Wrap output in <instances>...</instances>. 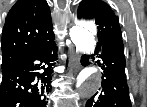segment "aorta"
Masks as SVG:
<instances>
[{
    "mask_svg": "<svg viewBox=\"0 0 147 107\" xmlns=\"http://www.w3.org/2000/svg\"><path fill=\"white\" fill-rule=\"evenodd\" d=\"M96 31L93 23H81L70 29V38L77 50L90 54L94 51L96 42L94 32ZM101 75L99 72L89 68H84L78 75L77 85L79 94L82 97L93 95L100 87Z\"/></svg>",
    "mask_w": 147,
    "mask_h": 107,
    "instance_id": "aorta-1",
    "label": "aorta"
}]
</instances>
